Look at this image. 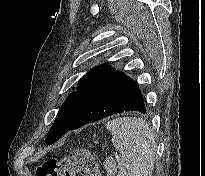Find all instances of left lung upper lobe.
<instances>
[{"label": "left lung upper lobe", "mask_w": 205, "mask_h": 176, "mask_svg": "<svg viewBox=\"0 0 205 176\" xmlns=\"http://www.w3.org/2000/svg\"><path fill=\"white\" fill-rule=\"evenodd\" d=\"M116 70L107 64L91 69L78 82L77 91L71 93L60 108L54 124L48 131L46 144H52L62 137L72 123L81 102L90 94L95 93Z\"/></svg>", "instance_id": "left-lung-upper-lobe-1"}]
</instances>
